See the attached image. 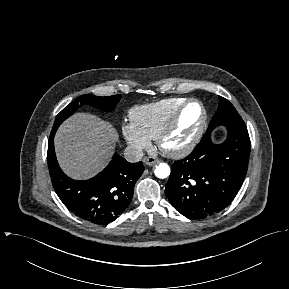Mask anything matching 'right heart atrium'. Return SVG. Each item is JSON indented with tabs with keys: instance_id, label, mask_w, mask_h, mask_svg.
Listing matches in <instances>:
<instances>
[{
	"instance_id": "right-heart-atrium-1",
	"label": "right heart atrium",
	"mask_w": 289,
	"mask_h": 289,
	"mask_svg": "<svg viewBox=\"0 0 289 289\" xmlns=\"http://www.w3.org/2000/svg\"><path fill=\"white\" fill-rule=\"evenodd\" d=\"M122 135L126 142L136 151L147 149L151 139L144 134L133 122L124 123L121 127Z\"/></svg>"
}]
</instances>
